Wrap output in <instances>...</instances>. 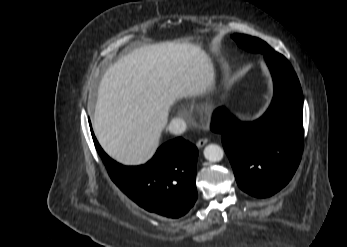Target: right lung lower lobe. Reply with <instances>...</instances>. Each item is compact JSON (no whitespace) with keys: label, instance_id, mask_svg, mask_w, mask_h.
<instances>
[{"label":"right lung lower lobe","instance_id":"98d812e1","mask_svg":"<svg viewBox=\"0 0 347 247\" xmlns=\"http://www.w3.org/2000/svg\"><path fill=\"white\" fill-rule=\"evenodd\" d=\"M96 150L113 182L134 202L149 212L169 218L186 214L197 199V148L182 138L158 148L145 165L128 167L112 160L100 147Z\"/></svg>","mask_w":347,"mask_h":247}]
</instances>
